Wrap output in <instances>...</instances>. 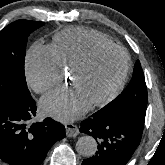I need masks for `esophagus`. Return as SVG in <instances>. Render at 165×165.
I'll list each match as a JSON object with an SVG mask.
<instances>
[{
	"instance_id": "34e87169",
	"label": "esophagus",
	"mask_w": 165,
	"mask_h": 165,
	"mask_svg": "<svg viewBox=\"0 0 165 165\" xmlns=\"http://www.w3.org/2000/svg\"><path fill=\"white\" fill-rule=\"evenodd\" d=\"M65 129H66V135L68 137H74V136H77L79 134L78 127L75 124L66 123Z\"/></svg>"
}]
</instances>
